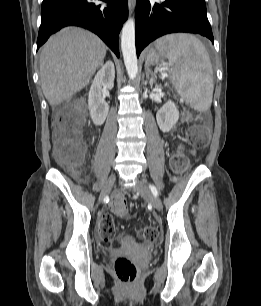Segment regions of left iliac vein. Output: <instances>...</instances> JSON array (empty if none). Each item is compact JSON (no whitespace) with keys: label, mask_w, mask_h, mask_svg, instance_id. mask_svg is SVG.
<instances>
[{"label":"left iliac vein","mask_w":261,"mask_h":306,"mask_svg":"<svg viewBox=\"0 0 261 306\" xmlns=\"http://www.w3.org/2000/svg\"><path fill=\"white\" fill-rule=\"evenodd\" d=\"M133 189L140 194L144 200L150 202L157 211L162 210L163 206L161 200L151 192L145 181L138 180Z\"/></svg>","instance_id":"1"}]
</instances>
